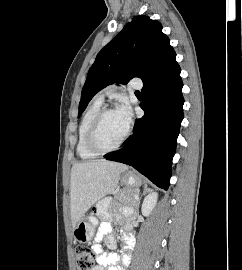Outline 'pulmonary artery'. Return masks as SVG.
Here are the masks:
<instances>
[{"label": "pulmonary artery", "mask_w": 242, "mask_h": 270, "mask_svg": "<svg viewBox=\"0 0 242 270\" xmlns=\"http://www.w3.org/2000/svg\"><path fill=\"white\" fill-rule=\"evenodd\" d=\"M129 87L132 88V89H141L142 88V82L141 80H132L130 83H129ZM113 89H109L105 92H102L100 93L98 96H97V100L99 101H103L104 100V96H105V93H110L112 92Z\"/></svg>", "instance_id": "e3ab8cb5"}]
</instances>
